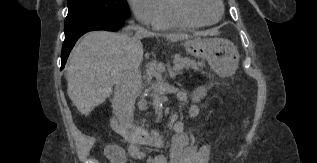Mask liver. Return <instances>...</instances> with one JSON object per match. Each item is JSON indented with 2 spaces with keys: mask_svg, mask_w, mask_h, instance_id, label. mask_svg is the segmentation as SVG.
I'll return each mask as SVG.
<instances>
[{
  "mask_svg": "<svg viewBox=\"0 0 317 163\" xmlns=\"http://www.w3.org/2000/svg\"><path fill=\"white\" fill-rule=\"evenodd\" d=\"M153 35L92 31L81 39L70 54L66 74L68 95L81 114L88 116L111 96L112 86L126 67L138 70L144 53L140 39ZM159 36L173 42L190 38L187 34Z\"/></svg>",
  "mask_w": 317,
  "mask_h": 163,
  "instance_id": "1",
  "label": "liver"
}]
</instances>
